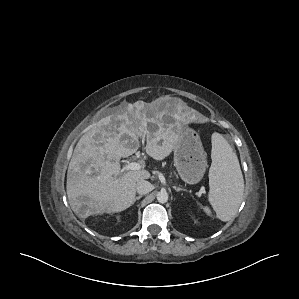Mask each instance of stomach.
Listing matches in <instances>:
<instances>
[{"instance_id":"0dacf381","label":"stomach","mask_w":299,"mask_h":299,"mask_svg":"<svg viewBox=\"0 0 299 299\" xmlns=\"http://www.w3.org/2000/svg\"><path fill=\"white\" fill-rule=\"evenodd\" d=\"M177 141L174 147V165L188 184L198 183L207 168V156L198 133L187 127L176 131Z\"/></svg>"}]
</instances>
